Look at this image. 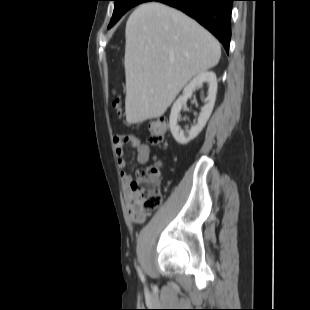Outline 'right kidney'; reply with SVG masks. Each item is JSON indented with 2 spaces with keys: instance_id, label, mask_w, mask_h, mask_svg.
Listing matches in <instances>:
<instances>
[{
  "instance_id": "right-kidney-1",
  "label": "right kidney",
  "mask_w": 310,
  "mask_h": 310,
  "mask_svg": "<svg viewBox=\"0 0 310 310\" xmlns=\"http://www.w3.org/2000/svg\"><path fill=\"white\" fill-rule=\"evenodd\" d=\"M202 83H208V95L206 98V104L202 107L200 115L198 117L197 124L193 125L190 129L185 131L178 125L179 113L183 106L186 105L188 98L192 96L195 88ZM217 93V79L216 75L212 71L202 72L194 77L184 88L182 95L174 102L170 113V130L177 143L181 145L188 144L191 140L196 138L206 125L216 99Z\"/></svg>"
}]
</instances>
